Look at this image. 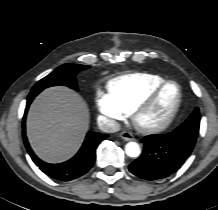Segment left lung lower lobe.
<instances>
[{
    "instance_id": "obj_1",
    "label": "left lung lower lobe",
    "mask_w": 218,
    "mask_h": 210,
    "mask_svg": "<svg viewBox=\"0 0 218 210\" xmlns=\"http://www.w3.org/2000/svg\"><path fill=\"white\" fill-rule=\"evenodd\" d=\"M144 150L129 165V171L147 180H157L175 173L191 154L195 142L183 135L180 126L165 135H150L141 140Z\"/></svg>"
}]
</instances>
